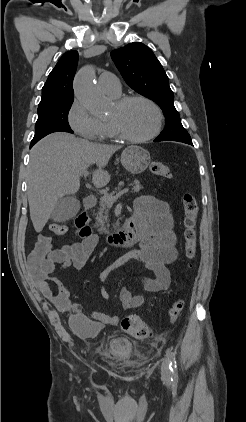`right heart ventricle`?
<instances>
[{
	"mask_svg": "<svg viewBox=\"0 0 246 422\" xmlns=\"http://www.w3.org/2000/svg\"><path fill=\"white\" fill-rule=\"evenodd\" d=\"M105 125V137L116 138L118 135L108 121L103 122Z\"/></svg>",
	"mask_w": 246,
	"mask_h": 422,
	"instance_id": "e07e8e85",
	"label": "right heart ventricle"
}]
</instances>
